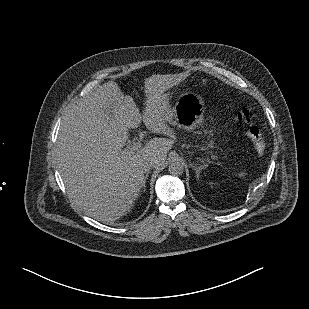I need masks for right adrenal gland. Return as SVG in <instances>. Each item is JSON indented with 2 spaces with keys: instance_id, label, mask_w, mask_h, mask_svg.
<instances>
[{
  "instance_id": "right-adrenal-gland-1",
  "label": "right adrenal gland",
  "mask_w": 309,
  "mask_h": 309,
  "mask_svg": "<svg viewBox=\"0 0 309 309\" xmlns=\"http://www.w3.org/2000/svg\"><path fill=\"white\" fill-rule=\"evenodd\" d=\"M149 173H146L145 177H144V182H143V191H146V180L148 179Z\"/></svg>"
}]
</instances>
